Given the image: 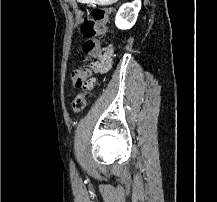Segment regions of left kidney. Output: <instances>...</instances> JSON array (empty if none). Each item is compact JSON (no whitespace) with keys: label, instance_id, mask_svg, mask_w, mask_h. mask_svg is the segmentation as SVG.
I'll return each instance as SVG.
<instances>
[{"label":"left kidney","instance_id":"left-kidney-1","mask_svg":"<svg viewBox=\"0 0 217 202\" xmlns=\"http://www.w3.org/2000/svg\"><path fill=\"white\" fill-rule=\"evenodd\" d=\"M140 8V0H134L132 4H123L116 14L115 26H117L119 30H130L137 20Z\"/></svg>","mask_w":217,"mask_h":202}]
</instances>
